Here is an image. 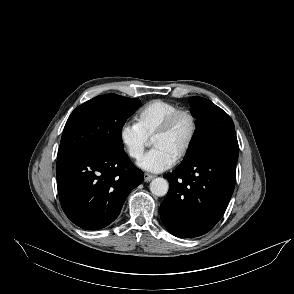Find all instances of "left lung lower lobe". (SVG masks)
Instances as JSON below:
<instances>
[{"label":"left lung lower lobe","mask_w":294,"mask_h":294,"mask_svg":"<svg viewBox=\"0 0 294 294\" xmlns=\"http://www.w3.org/2000/svg\"><path fill=\"white\" fill-rule=\"evenodd\" d=\"M238 153L236 136L219 138L165 175L170 188L160 216L170 233L197 237L215 226L234 191Z\"/></svg>","instance_id":"0a47b994"}]
</instances>
